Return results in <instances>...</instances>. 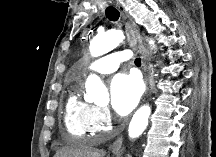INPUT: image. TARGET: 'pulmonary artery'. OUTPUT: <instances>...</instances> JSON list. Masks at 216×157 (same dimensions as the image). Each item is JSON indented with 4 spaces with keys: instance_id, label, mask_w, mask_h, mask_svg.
<instances>
[{
    "instance_id": "1",
    "label": "pulmonary artery",
    "mask_w": 216,
    "mask_h": 157,
    "mask_svg": "<svg viewBox=\"0 0 216 157\" xmlns=\"http://www.w3.org/2000/svg\"><path fill=\"white\" fill-rule=\"evenodd\" d=\"M132 53L128 50L114 52L90 63L86 72H97L102 74L112 73L116 71L121 62L132 57Z\"/></svg>"
}]
</instances>
